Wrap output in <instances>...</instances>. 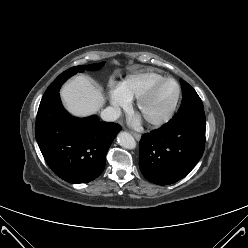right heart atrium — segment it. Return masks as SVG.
<instances>
[{
    "mask_svg": "<svg viewBox=\"0 0 248 248\" xmlns=\"http://www.w3.org/2000/svg\"><path fill=\"white\" fill-rule=\"evenodd\" d=\"M110 103L115 109L125 108L129 105V99L123 94L120 85L110 83L109 86Z\"/></svg>",
    "mask_w": 248,
    "mask_h": 248,
    "instance_id": "d8ad5b80",
    "label": "right heart atrium"
}]
</instances>
